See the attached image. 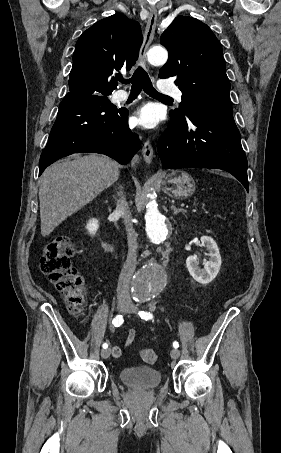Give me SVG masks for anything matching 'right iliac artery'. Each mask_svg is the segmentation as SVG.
<instances>
[{"mask_svg":"<svg viewBox=\"0 0 281 453\" xmlns=\"http://www.w3.org/2000/svg\"><path fill=\"white\" fill-rule=\"evenodd\" d=\"M123 317L122 315H117L113 321L112 324H114L115 327H119L123 323ZM108 345L106 343L103 344V348L106 349Z\"/></svg>","mask_w":281,"mask_h":453,"instance_id":"82829eb1","label":"right iliac artery"}]
</instances>
